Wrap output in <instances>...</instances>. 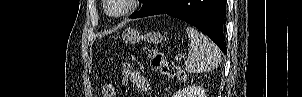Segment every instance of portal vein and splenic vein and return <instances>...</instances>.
Listing matches in <instances>:
<instances>
[{
	"label": "portal vein and splenic vein",
	"mask_w": 302,
	"mask_h": 97,
	"mask_svg": "<svg viewBox=\"0 0 302 97\" xmlns=\"http://www.w3.org/2000/svg\"><path fill=\"white\" fill-rule=\"evenodd\" d=\"M175 60H176V61H181V60H182V57H181V56H176V57H175Z\"/></svg>",
	"instance_id": "1"
}]
</instances>
